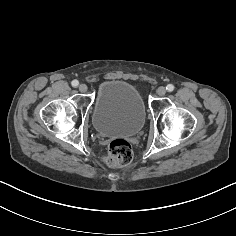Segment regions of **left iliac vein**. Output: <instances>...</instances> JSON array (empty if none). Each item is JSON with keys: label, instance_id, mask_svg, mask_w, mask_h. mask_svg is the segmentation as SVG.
I'll list each match as a JSON object with an SVG mask.
<instances>
[{"label": "left iliac vein", "instance_id": "1", "mask_svg": "<svg viewBox=\"0 0 236 236\" xmlns=\"http://www.w3.org/2000/svg\"><path fill=\"white\" fill-rule=\"evenodd\" d=\"M157 94L159 95V96H164L165 94H166V89H165V87H159L158 89H157Z\"/></svg>", "mask_w": 236, "mask_h": 236}]
</instances>
